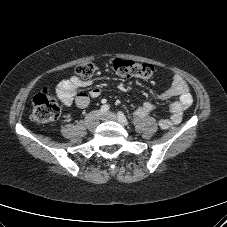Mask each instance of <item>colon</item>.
I'll return each instance as SVG.
<instances>
[{"mask_svg": "<svg viewBox=\"0 0 227 227\" xmlns=\"http://www.w3.org/2000/svg\"><path fill=\"white\" fill-rule=\"evenodd\" d=\"M109 67L116 74L124 77H138L148 79L154 74V67L147 63H138L127 59H114ZM77 74L82 78H89L95 72L92 63H84L77 67ZM60 115L58 100L49 90L43 89L33 99L32 117L35 122L46 124L55 121Z\"/></svg>", "mask_w": 227, "mask_h": 227, "instance_id": "colon-1", "label": "colon"}]
</instances>
